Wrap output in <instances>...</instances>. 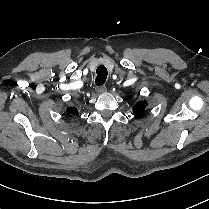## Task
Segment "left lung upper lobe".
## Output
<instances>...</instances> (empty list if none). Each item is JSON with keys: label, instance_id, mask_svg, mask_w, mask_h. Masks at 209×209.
Here are the masks:
<instances>
[{"label": "left lung upper lobe", "instance_id": "1", "mask_svg": "<svg viewBox=\"0 0 209 209\" xmlns=\"http://www.w3.org/2000/svg\"><path fill=\"white\" fill-rule=\"evenodd\" d=\"M147 102H138L134 107H133V113L135 114L136 117H141L146 108Z\"/></svg>", "mask_w": 209, "mask_h": 209}]
</instances>
